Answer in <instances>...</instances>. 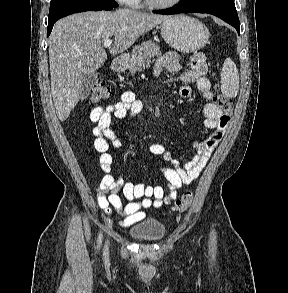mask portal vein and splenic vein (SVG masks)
Listing matches in <instances>:
<instances>
[{"instance_id": "1", "label": "portal vein and splenic vein", "mask_w": 288, "mask_h": 293, "mask_svg": "<svg viewBox=\"0 0 288 293\" xmlns=\"http://www.w3.org/2000/svg\"><path fill=\"white\" fill-rule=\"evenodd\" d=\"M111 44H112V40L111 39H107V40L104 41L103 47L104 48H108V47L111 46Z\"/></svg>"}]
</instances>
